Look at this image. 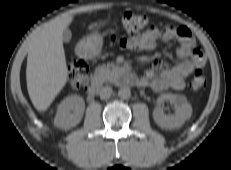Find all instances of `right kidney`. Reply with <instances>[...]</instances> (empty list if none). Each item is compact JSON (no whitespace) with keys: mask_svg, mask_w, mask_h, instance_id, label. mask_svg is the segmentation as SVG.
Segmentation results:
<instances>
[{"mask_svg":"<svg viewBox=\"0 0 231 170\" xmlns=\"http://www.w3.org/2000/svg\"><path fill=\"white\" fill-rule=\"evenodd\" d=\"M85 102L82 97L72 95L65 98L58 106L54 125L62 129L76 126L82 119Z\"/></svg>","mask_w":231,"mask_h":170,"instance_id":"obj_1","label":"right kidney"}]
</instances>
